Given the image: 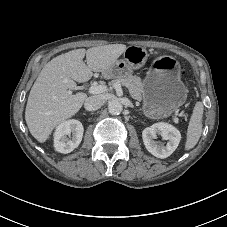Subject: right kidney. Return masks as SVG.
<instances>
[{
	"mask_svg": "<svg viewBox=\"0 0 227 227\" xmlns=\"http://www.w3.org/2000/svg\"><path fill=\"white\" fill-rule=\"evenodd\" d=\"M84 128L78 120H68L61 123L54 133V147L60 153H70L82 141Z\"/></svg>",
	"mask_w": 227,
	"mask_h": 227,
	"instance_id": "obj_1",
	"label": "right kidney"
}]
</instances>
